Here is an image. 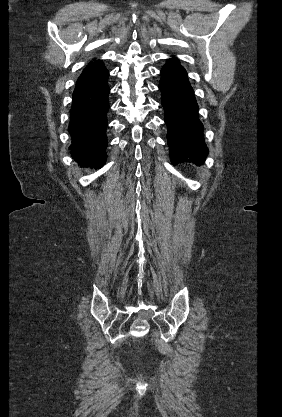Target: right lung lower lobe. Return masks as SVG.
<instances>
[{
  "label": "right lung lower lobe",
  "mask_w": 282,
  "mask_h": 417,
  "mask_svg": "<svg viewBox=\"0 0 282 417\" xmlns=\"http://www.w3.org/2000/svg\"><path fill=\"white\" fill-rule=\"evenodd\" d=\"M108 77L103 63L95 61L83 70L76 83L70 110V153L81 166L101 168L106 162Z\"/></svg>",
  "instance_id": "1"
}]
</instances>
